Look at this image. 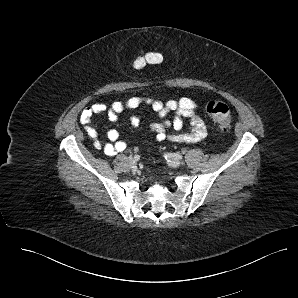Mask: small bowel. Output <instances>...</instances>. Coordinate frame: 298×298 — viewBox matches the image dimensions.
<instances>
[{
	"mask_svg": "<svg viewBox=\"0 0 298 298\" xmlns=\"http://www.w3.org/2000/svg\"><path fill=\"white\" fill-rule=\"evenodd\" d=\"M143 104L150 106L160 118V121L150 126L157 141L195 143L206 137L207 128L202 118L196 113L197 104L186 97L165 102L152 97H131L124 102L115 101L110 106L104 103H95L82 110L80 121L86 134L93 141L94 147L108 156H115L127 149V143L120 139V134L115 129H111L107 133L109 142L102 143L93 124V118L105 113L110 121H116L124 110L136 109ZM169 114H172L171 118H168ZM184 118L190 121L187 132L181 131ZM130 123L133 127H138L139 117L132 115ZM169 129L173 131L170 132Z\"/></svg>",
	"mask_w": 298,
	"mask_h": 298,
	"instance_id": "small-bowel-1",
	"label": "small bowel"
}]
</instances>
